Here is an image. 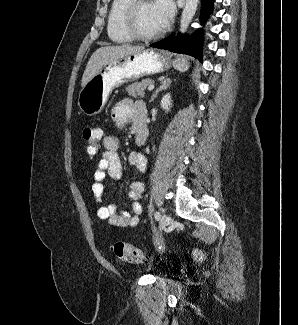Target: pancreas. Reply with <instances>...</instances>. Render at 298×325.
<instances>
[{"label": "pancreas", "instance_id": "1", "mask_svg": "<svg viewBox=\"0 0 298 325\" xmlns=\"http://www.w3.org/2000/svg\"><path fill=\"white\" fill-rule=\"evenodd\" d=\"M152 82V78H142V80H138V82L128 84L125 90L129 96H134V98H143L148 84H152Z\"/></svg>", "mask_w": 298, "mask_h": 325}]
</instances>
